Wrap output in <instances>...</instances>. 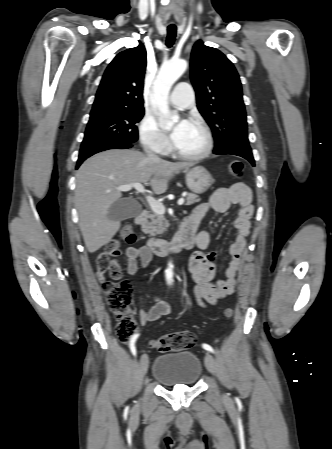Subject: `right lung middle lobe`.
Listing matches in <instances>:
<instances>
[{"label": "right lung middle lobe", "instance_id": "1", "mask_svg": "<svg viewBox=\"0 0 332 449\" xmlns=\"http://www.w3.org/2000/svg\"><path fill=\"white\" fill-rule=\"evenodd\" d=\"M144 109H120L91 113L81 148L107 141L134 143Z\"/></svg>", "mask_w": 332, "mask_h": 449}]
</instances>
